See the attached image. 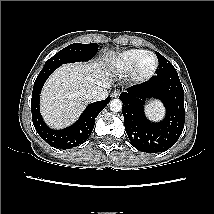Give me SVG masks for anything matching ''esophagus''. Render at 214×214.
Returning a JSON list of instances; mask_svg holds the SVG:
<instances>
[{
  "instance_id": "obj_1",
  "label": "esophagus",
  "mask_w": 214,
  "mask_h": 214,
  "mask_svg": "<svg viewBox=\"0 0 214 214\" xmlns=\"http://www.w3.org/2000/svg\"><path fill=\"white\" fill-rule=\"evenodd\" d=\"M119 94H120V91H119V90H114V91L112 92V97L117 98V97L119 96Z\"/></svg>"
}]
</instances>
